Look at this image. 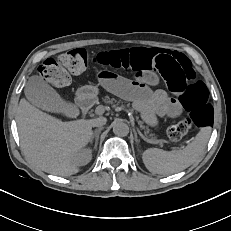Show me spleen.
I'll list each match as a JSON object with an SVG mask.
<instances>
[{
	"label": "spleen",
	"instance_id": "spleen-1",
	"mask_svg": "<svg viewBox=\"0 0 231 231\" xmlns=\"http://www.w3.org/2000/svg\"><path fill=\"white\" fill-rule=\"evenodd\" d=\"M211 134V127H203L191 143L182 150L164 151L149 148L143 152L146 168L153 174L170 175L192 165L204 152Z\"/></svg>",
	"mask_w": 231,
	"mask_h": 231
}]
</instances>
